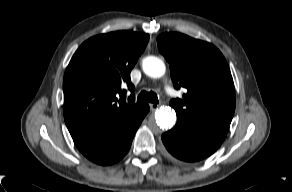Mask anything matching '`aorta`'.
Returning a JSON list of instances; mask_svg holds the SVG:
<instances>
[{
  "label": "aorta",
  "mask_w": 292,
  "mask_h": 192,
  "mask_svg": "<svg viewBox=\"0 0 292 192\" xmlns=\"http://www.w3.org/2000/svg\"><path fill=\"white\" fill-rule=\"evenodd\" d=\"M143 72L151 78H160L164 75L166 67L164 62L155 56H147L142 62ZM176 122V113L169 107H163L156 111L155 121H150V128L155 129L156 125L162 129L171 128Z\"/></svg>",
  "instance_id": "762f6f07"
}]
</instances>
